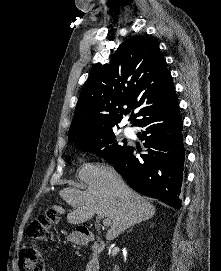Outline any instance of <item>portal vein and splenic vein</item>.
Listing matches in <instances>:
<instances>
[{
  "label": "portal vein and splenic vein",
  "instance_id": "obj_1",
  "mask_svg": "<svg viewBox=\"0 0 221 271\" xmlns=\"http://www.w3.org/2000/svg\"><path fill=\"white\" fill-rule=\"evenodd\" d=\"M97 217H103L102 223L103 225H106V227H109V225H112L110 217L108 215H97Z\"/></svg>",
  "mask_w": 221,
  "mask_h": 271
}]
</instances>
